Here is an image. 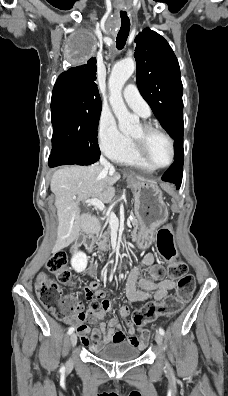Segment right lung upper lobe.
Segmentation results:
<instances>
[{
	"mask_svg": "<svg viewBox=\"0 0 228 396\" xmlns=\"http://www.w3.org/2000/svg\"><path fill=\"white\" fill-rule=\"evenodd\" d=\"M96 71V58L92 57L83 65L72 67L61 73L56 80L55 87L69 88L85 98L101 100L95 83Z\"/></svg>",
	"mask_w": 228,
	"mask_h": 396,
	"instance_id": "1",
	"label": "right lung upper lobe"
}]
</instances>
